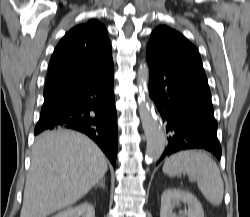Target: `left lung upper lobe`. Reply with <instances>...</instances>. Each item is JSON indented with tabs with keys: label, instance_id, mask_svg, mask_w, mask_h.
I'll use <instances>...</instances> for the list:
<instances>
[{
	"label": "left lung upper lobe",
	"instance_id": "5c2ea615",
	"mask_svg": "<svg viewBox=\"0 0 250 217\" xmlns=\"http://www.w3.org/2000/svg\"><path fill=\"white\" fill-rule=\"evenodd\" d=\"M147 50L155 57L176 65H192L203 69L197 48L182 34L165 25L151 34Z\"/></svg>",
	"mask_w": 250,
	"mask_h": 217
}]
</instances>
